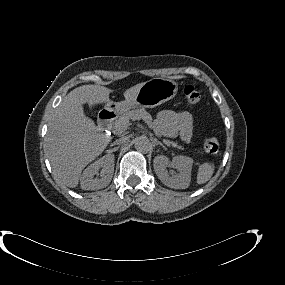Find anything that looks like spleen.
Returning <instances> with one entry per match:
<instances>
[{"instance_id":"spleen-1","label":"spleen","mask_w":285,"mask_h":285,"mask_svg":"<svg viewBox=\"0 0 285 285\" xmlns=\"http://www.w3.org/2000/svg\"><path fill=\"white\" fill-rule=\"evenodd\" d=\"M215 166L213 163L205 162L199 166L197 173V183L204 184L209 181L214 173Z\"/></svg>"}]
</instances>
